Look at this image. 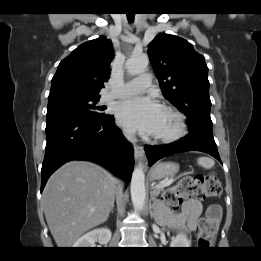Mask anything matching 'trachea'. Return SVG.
<instances>
[{"label": "trachea", "instance_id": "obj_1", "mask_svg": "<svg viewBox=\"0 0 261 261\" xmlns=\"http://www.w3.org/2000/svg\"><path fill=\"white\" fill-rule=\"evenodd\" d=\"M135 13H127V17L129 21H132L134 19Z\"/></svg>", "mask_w": 261, "mask_h": 261}]
</instances>
